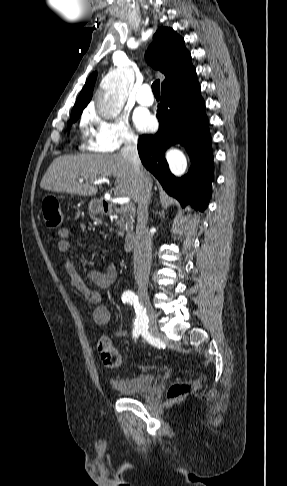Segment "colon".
<instances>
[{
  "instance_id": "5ec220e1",
  "label": "colon",
  "mask_w": 287,
  "mask_h": 486,
  "mask_svg": "<svg viewBox=\"0 0 287 486\" xmlns=\"http://www.w3.org/2000/svg\"><path fill=\"white\" fill-rule=\"evenodd\" d=\"M41 209L45 224L48 227L56 228L61 224L63 216L60 203L56 197L51 195L45 196L41 202ZM97 349L106 367L118 368L121 366V355L108 336L103 335L98 338ZM191 388V384L176 383L170 387L168 398L170 400H177L189 392Z\"/></svg>"
}]
</instances>
